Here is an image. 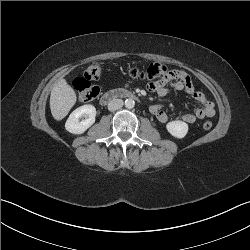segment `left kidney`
<instances>
[{"instance_id": "1", "label": "left kidney", "mask_w": 250, "mask_h": 250, "mask_svg": "<svg viewBox=\"0 0 250 250\" xmlns=\"http://www.w3.org/2000/svg\"><path fill=\"white\" fill-rule=\"evenodd\" d=\"M166 129L175 138L182 139L188 132V124L180 120H175L168 122Z\"/></svg>"}]
</instances>
